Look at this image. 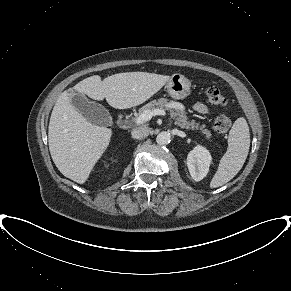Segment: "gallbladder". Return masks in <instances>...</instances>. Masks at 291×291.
Returning a JSON list of instances; mask_svg holds the SVG:
<instances>
[{
    "label": "gallbladder",
    "mask_w": 291,
    "mask_h": 291,
    "mask_svg": "<svg viewBox=\"0 0 291 291\" xmlns=\"http://www.w3.org/2000/svg\"><path fill=\"white\" fill-rule=\"evenodd\" d=\"M71 102L82 116L92 124L99 126H109L112 117L109 111L101 104L89 101L85 95L69 90Z\"/></svg>",
    "instance_id": "bac80fb5"
}]
</instances>
